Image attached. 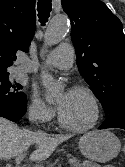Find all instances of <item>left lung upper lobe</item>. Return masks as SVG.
I'll use <instances>...</instances> for the list:
<instances>
[{
  "label": "left lung upper lobe",
  "mask_w": 125,
  "mask_h": 167,
  "mask_svg": "<svg viewBox=\"0 0 125 167\" xmlns=\"http://www.w3.org/2000/svg\"><path fill=\"white\" fill-rule=\"evenodd\" d=\"M71 19L80 74L108 115L125 108V35L121 21L100 0H61Z\"/></svg>",
  "instance_id": "left-lung-upper-lobe-1"
}]
</instances>
